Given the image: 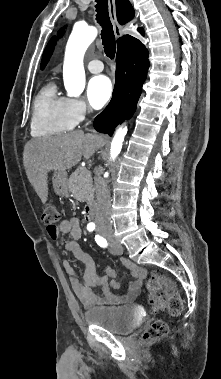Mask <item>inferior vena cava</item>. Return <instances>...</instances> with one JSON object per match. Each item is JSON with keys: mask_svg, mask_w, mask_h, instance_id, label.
<instances>
[{"mask_svg": "<svg viewBox=\"0 0 221 379\" xmlns=\"http://www.w3.org/2000/svg\"><path fill=\"white\" fill-rule=\"evenodd\" d=\"M95 192L97 198V211L95 222L99 230H112L110 218V191L107 182L98 174L95 177Z\"/></svg>", "mask_w": 221, "mask_h": 379, "instance_id": "inferior-vena-cava-1", "label": "inferior vena cava"}]
</instances>
